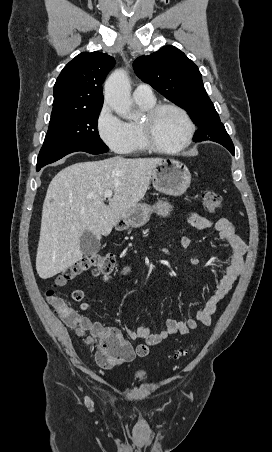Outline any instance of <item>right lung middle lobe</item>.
<instances>
[{"instance_id":"1","label":"right lung middle lobe","mask_w":272,"mask_h":452,"mask_svg":"<svg viewBox=\"0 0 272 452\" xmlns=\"http://www.w3.org/2000/svg\"><path fill=\"white\" fill-rule=\"evenodd\" d=\"M100 110L101 108L51 115L37 161L57 158L76 150L90 154L107 152L108 147L97 131Z\"/></svg>"}]
</instances>
